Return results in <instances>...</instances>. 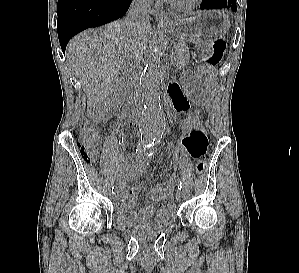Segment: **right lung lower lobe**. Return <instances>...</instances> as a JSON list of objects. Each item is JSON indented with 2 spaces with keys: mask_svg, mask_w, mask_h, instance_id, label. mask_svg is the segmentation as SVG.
<instances>
[{
  "mask_svg": "<svg viewBox=\"0 0 299 273\" xmlns=\"http://www.w3.org/2000/svg\"><path fill=\"white\" fill-rule=\"evenodd\" d=\"M132 0H58L57 29L63 53L77 33L122 17Z\"/></svg>",
  "mask_w": 299,
  "mask_h": 273,
  "instance_id": "obj_1",
  "label": "right lung lower lobe"
}]
</instances>
